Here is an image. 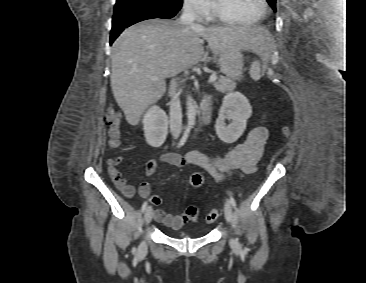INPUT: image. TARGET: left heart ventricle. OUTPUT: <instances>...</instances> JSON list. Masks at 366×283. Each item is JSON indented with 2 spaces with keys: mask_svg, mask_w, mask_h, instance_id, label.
Segmentation results:
<instances>
[{
  "mask_svg": "<svg viewBox=\"0 0 366 283\" xmlns=\"http://www.w3.org/2000/svg\"><path fill=\"white\" fill-rule=\"evenodd\" d=\"M220 4L235 18L251 21L263 11L261 0H219Z\"/></svg>",
  "mask_w": 366,
  "mask_h": 283,
  "instance_id": "1",
  "label": "left heart ventricle"
}]
</instances>
